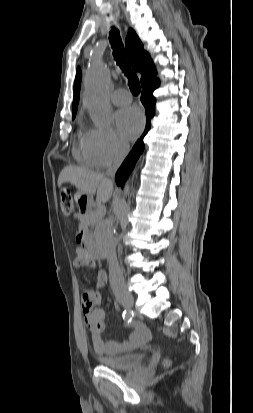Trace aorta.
I'll return each instance as SVG.
<instances>
[{"label": "aorta", "mask_w": 253, "mask_h": 413, "mask_svg": "<svg viewBox=\"0 0 253 413\" xmlns=\"http://www.w3.org/2000/svg\"><path fill=\"white\" fill-rule=\"evenodd\" d=\"M83 102L92 121L100 127H107L112 119V108L108 99L111 78L109 67L104 62L91 64L85 75ZM129 184L125 190L128 194Z\"/></svg>", "instance_id": "1"}]
</instances>
